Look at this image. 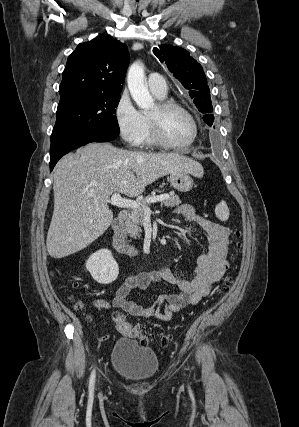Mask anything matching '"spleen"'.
Segmentation results:
<instances>
[{"mask_svg":"<svg viewBox=\"0 0 299 427\" xmlns=\"http://www.w3.org/2000/svg\"><path fill=\"white\" fill-rule=\"evenodd\" d=\"M215 214L221 221H227L229 218V209L224 200L215 207Z\"/></svg>","mask_w":299,"mask_h":427,"instance_id":"3e777b00","label":"spleen"}]
</instances>
